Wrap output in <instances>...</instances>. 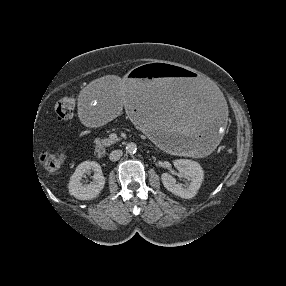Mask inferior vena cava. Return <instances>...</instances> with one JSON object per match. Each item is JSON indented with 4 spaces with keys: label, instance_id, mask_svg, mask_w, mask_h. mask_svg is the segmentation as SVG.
<instances>
[{
    "label": "inferior vena cava",
    "instance_id": "1",
    "mask_svg": "<svg viewBox=\"0 0 286 286\" xmlns=\"http://www.w3.org/2000/svg\"><path fill=\"white\" fill-rule=\"evenodd\" d=\"M122 154H123L122 150H114L110 153L109 159L111 161H117L121 158Z\"/></svg>",
    "mask_w": 286,
    "mask_h": 286
}]
</instances>
